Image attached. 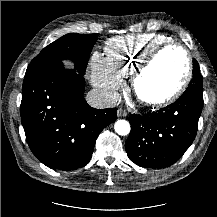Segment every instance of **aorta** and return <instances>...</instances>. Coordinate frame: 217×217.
I'll list each match as a JSON object with an SVG mask.
<instances>
[{
	"mask_svg": "<svg viewBox=\"0 0 217 217\" xmlns=\"http://www.w3.org/2000/svg\"><path fill=\"white\" fill-rule=\"evenodd\" d=\"M115 132L121 136L128 135L130 133V124L126 120H118L114 125Z\"/></svg>",
	"mask_w": 217,
	"mask_h": 217,
	"instance_id": "762f6f07",
	"label": "aorta"
}]
</instances>
